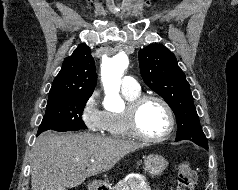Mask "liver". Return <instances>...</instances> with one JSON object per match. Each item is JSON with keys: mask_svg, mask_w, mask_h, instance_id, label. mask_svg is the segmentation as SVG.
<instances>
[{"mask_svg": "<svg viewBox=\"0 0 238 190\" xmlns=\"http://www.w3.org/2000/svg\"><path fill=\"white\" fill-rule=\"evenodd\" d=\"M143 145L90 133L57 134L46 131L33 146L32 190H67L86 178L113 168L125 155Z\"/></svg>", "mask_w": 238, "mask_h": 190, "instance_id": "liver-1", "label": "liver"}]
</instances>
